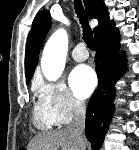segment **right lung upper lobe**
Listing matches in <instances>:
<instances>
[{
  "mask_svg": "<svg viewBox=\"0 0 139 150\" xmlns=\"http://www.w3.org/2000/svg\"><path fill=\"white\" fill-rule=\"evenodd\" d=\"M84 4L88 15L92 18H96L99 22L98 26L94 29V34H96L109 20L107 8L102 0H84ZM50 26L51 18L48 11L39 14L33 22L28 35L25 53V72L27 82H29L33 76L38 62L41 45Z\"/></svg>",
  "mask_w": 139,
  "mask_h": 150,
  "instance_id": "obj_1",
  "label": "right lung upper lobe"
}]
</instances>
